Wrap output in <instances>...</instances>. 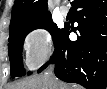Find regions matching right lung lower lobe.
I'll return each instance as SVG.
<instances>
[{
  "mask_svg": "<svg viewBox=\"0 0 107 89\" xmlns=\"http://www.w3.org/2000/svg\"><path fill=\"white\" fill-rule=\"evenodd\" d=\"M76 22L73 29L65 25L49 63H55V75L66 82L81 84L88 89H105L107 80V0H74ZM79 31L76 41L71 31Z\"/></svg>",
  "mask_w": 107,
  "mask_h": 89,
  "instance_id": "right-lung-lower-lobe-1",
  "label": "right lung lower lobe"
}]
</instances>
